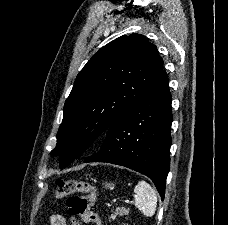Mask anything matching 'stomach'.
Returning a JSON list of instances; mask_svg holds the SVG:
<instances>
[{
	"label": "stomach",
	"instance_id": "0dacf381",
	"mask_svg": "<svg viewBox=\"0 0 228 225\" xmlns=\"http://www.w3.org/2000/svg\"><path fill=\"white\" fill-rule=\"evenodd\" d=\"M105 187H108V189H110V191H112V189H114V185H112V183H105Z\"/></svg>",
	"mask_w": 228,
	"mask_h": 225
}]
</instances>
